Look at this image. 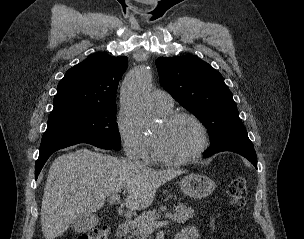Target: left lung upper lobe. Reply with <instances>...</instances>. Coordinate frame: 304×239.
<instances>
[{"label":"left lung upper lobe","instance_id":"1","mask_svg":"<svg viewBox=\"0 0 304 239\" xmlns=\"http://www.w3.org/2000/svg\"><path fill=\"white\" fill-rule=\"evenodd\" d=\"M156 66L162 87L207 127L212 146L206 152L254 149L217 70L192 55L159 57Z\"/></svg>","mask_w":304,"mask_h":239}]
</instances>
